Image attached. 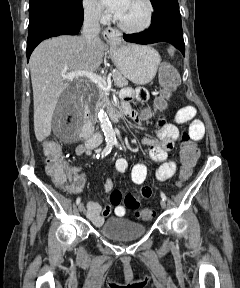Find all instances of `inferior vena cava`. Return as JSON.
<instances>
[{"label":"inferior vena cava","instance_id":"1","mask_svg":"<svg viewBox=\"0 0 240 288\" xmlns=\"http://www.w3.org/2000/svg\"><path fill=\"white\" fill-rule=\"evenodd\" d=\"M100 15L101 10L97 6H93L85 11L82 37L85 40L87 47L99 39Z\"/></svg>","mask_w":240,"mask_h":288}]
</instances>
